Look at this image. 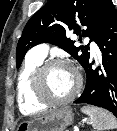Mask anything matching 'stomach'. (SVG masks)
Returning <instances> with one entry per match:
<instances>
[{"mask_svg": "<svg viewBox=\"0 0 117 131\" xmlns=\"http://www.w3.org/2000/svg\"><path fill=\"white\" fill-rule=\"evenodd\" d=\"M74 120L70 107H62L40 118L21 122L17 131H64Z\"/></svg>", "mask_w": 117, "mask_h": 131, "instance_id": "1", "label": "stomach"}]
</instances>
